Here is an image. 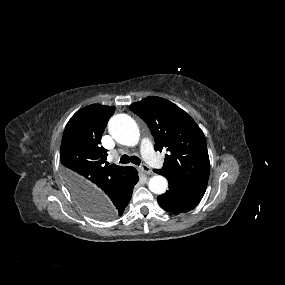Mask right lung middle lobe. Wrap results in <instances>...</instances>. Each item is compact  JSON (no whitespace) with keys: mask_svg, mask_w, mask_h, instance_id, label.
Segmentation results:
<instances>
[{"mask_svg":"<svg viewBox=\"0 0 285 285\" xmlns=\"http://www.w3.org/2000/svg\"><path fill=\"white\" fill-rule=\"evenodd\" d=\"M67 182V180H66ZM68 184V183H67ZM71 191V190H70ZM78 202V201H77ZM79 203V202H78ZM80 204V203H79ZM80 206L83 208V210L88 213L90 216L99 219V220H111L117 215H115L108 207H92L90 205H82Z\"/></svg>","mask_w":285,"mask_h":285,"instance_id":"right-lung-middle-lobe-1","label":"right lung middle lobe"}]
</instances>
